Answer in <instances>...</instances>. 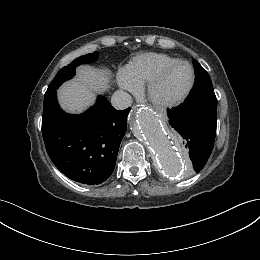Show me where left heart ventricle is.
Instances as JSON below:
<instances>
[{"instance_id": "1", "label": "left heart ventricle", "mask_w": 260, "mask_h": 260, "mask_svg": "<svg viewBox=\"0 0 260 260\" xmlns=\"http://www.w3.org/2000/svg\"><path fill=\"white\" fill-rule=\"evenodd\" d=\"M191 69L187 65H179L168 73L156 88L155 95L159 99L168 100L180 96L190 84Z\"/></svg>"}]
</instances>
